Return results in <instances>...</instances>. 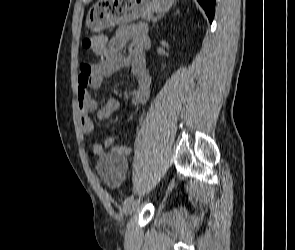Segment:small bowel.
Masks as SVG:
<instances>
[{
    "label": "small bowel",
    "mask_w": 295,
    "mask_h": 250,
    "mask_svg": "<svg viewBox=\"0 0 295 250\" xmlns=\"http://www.w3.org/2000/svg\"><path fill=\"white\" fill-rule=\"evenodd\" d=\"M128 43H130L128 53L123 54L121 51ZM148 46L149 38L144 26L120 27L109 41L104 38L103 48L95 52L101 58L98 63L82 62L80 64L77 93L80 121L85 134L92 133L94 129L91 114H96L99 119L107 120L120 108V103L116 99L101 101L90 94L91 90H97L101 86L105 76L120 69H128L136 80L130 94L132 103L141 105L147 101L150 95L151 77L146 70L144 50ZM114 144V137H108L104 141V146L112 147L116 153L129 154V148L114 146ZM92 152L100 156L103 153V147L93 144Z\"/></svg>",
    "instance_id": "c3829d8e"
}]
</instances>
